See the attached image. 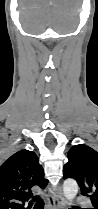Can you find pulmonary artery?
<instances>
[{
	"label": "pulmonary artery",
	"instance_id": "1",
	"mask_svg": "<svg viewBox=\"0 0 98 209\" xmlns=\"http://www.w3.org/2000/svg\"><path fill=\"white\" fill-rule=\"evenodd\" d=\"M78 202L82 205H87V204H90V201L86 198H79L78 199Z\"/></svg>",
	"mask_w": 98,
	"mask_h": 209
}]
</instances>
